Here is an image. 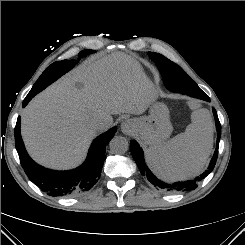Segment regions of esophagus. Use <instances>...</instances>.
<instances>
[{
  "label": "esophagus",
  "mask_w": 245,
  "mask_h": 245,
  "mask_svg": "<svg viewBox=\"0 0 245 245\" xmlns=\"http://www.w3.org/2000/svg\"><path fill=\"white\" fill-rule=\"evenodd\" d=\"M121 130H122L124 133H128V132L131 130V123H130V121H124V122L121 124Z\"/></svg>",
  "instance_id": "1"
}]
</instances>
